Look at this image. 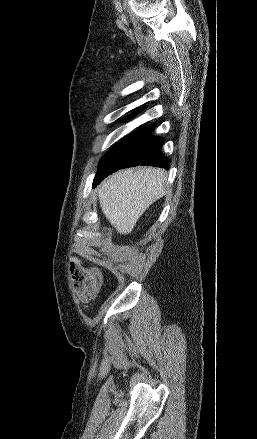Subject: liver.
<instances>
[{
    "mask_svg": "<svg viewBox=\"0 0 257 439\" xmlns=\"http://www.w3.org/2000/svg\"><path fill=\"white\" fill-rule=\"evenodd\" d=\"M165 183L166 173L160 168L121 170L98 188L102 212L117 232L129 234L145 210L165 194Z\"/></svg>",
    "mask_w": 257,
    "mask_h": 439,
    "instance_id": "obj_1",
    "label": "liver"
}]
</instances>
